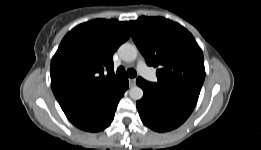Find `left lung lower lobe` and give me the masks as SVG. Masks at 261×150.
I'll return each mask as SVG.
<instances>
[{"label":"left lung lower lobe","instance_id":"obj_1","mask_svg":"<svg viewBox=\"0 0 261 150\" xmlns=\"http://www.w3.org/2000/svg\"><path fill=\"white\" fill-rule=\"evenodd\" d=\"M143 98L137 101V109L143 123L159 132L181 125L193 111L198 97L177 88H160L142 78L137 79Z\"/></svg>","mask_w":261,"mask_h":150}]
</instances>
